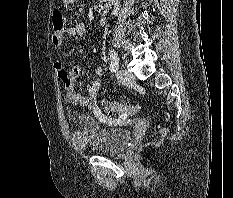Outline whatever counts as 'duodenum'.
Instances as JSON below:
<instances>
[{
    "label": "duodenum",
    "instance_id": "duodenum-1",
    "mask_svg": "<svg viewBox=\"0 0 233 198\" xmlns=\"http://www.w3.org/2000/svg\"><path fill=\"white\" fill-rule=\"evenodd\" d=\"M112 4H113V0H101L100 5H99L100 17L106 16Z\"/></svg>",
    "mask_w": 233,
    "mask_h": 198
}]
</instances>
